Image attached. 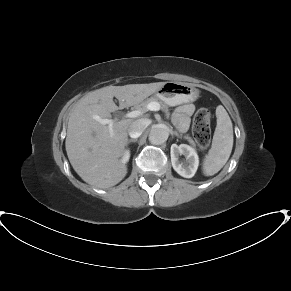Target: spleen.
<instances>
[{
  "mask_svg": "<svg viewBox=\"0 0 291 291\" xmlns=\"http://www.w3.org/2000/svg\"><path fill=\"white\" fill-rule=\"evenodd\" d=\"M217 126L212 146L203 162V173L212 176L218 173L228 161L233 147V125L222 105L216 108Z\"/></svg>",
  "mask_w": 291,
  "mask_h": 291,
  "instance_id": "spleen-1",
  "label": "spleen"
}]
</instances>
